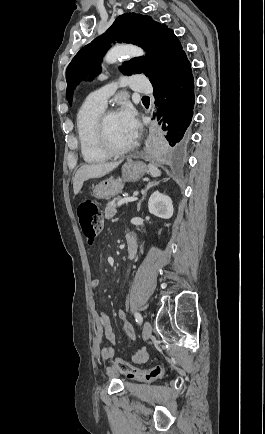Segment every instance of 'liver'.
<instances>
[{
    "mask_svg": "<svg viewBox=\"0 0 265 434\" xmlns=\"http://www.w3.org/2000/svg\"><path fill=\"white\" fill-rule=\"evenodd\" d=\"M119 164H121V162H109V164H105V162H97V164L81 166L73 178L74 194H79L83 182L90 180V178H102V176H106V174L115 170Z\"/></svg>",
    "mask_w": 265,
    "mask_h": 434,
    "instance_id": "1",
    "label": "liver"
}]
</instances>
